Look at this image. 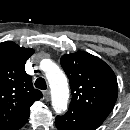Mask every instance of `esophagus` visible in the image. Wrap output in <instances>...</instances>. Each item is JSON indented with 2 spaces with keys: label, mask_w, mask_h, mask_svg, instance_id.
<instances>
[{
  "label": "esophagus",
  "mask_w": 130,
  "mask_h": 130,
  "mask_svg": "<svg viewBox=\"0 0 130 130\" xmlns=\"http://www.w3.org/2000/svg\"><path fill=\"white\" fill-rule=\"evenodd\" d=\"M43 95H44V98H45L46 101H50L51 96H50V91L49 90H45L43 92Z\"/></svg>",
  "instance_id": "1"
}]
</instances>
